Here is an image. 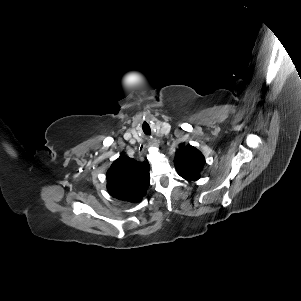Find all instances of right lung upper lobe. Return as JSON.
I'll list each match as a JSON object with an SVG mask.
<instances>
[{
	"label": "right lung upper lobe",
	"mask_w": 301,
	"mask_h": 301,
	"mask_svg": "<svg viewBox=\"0 0 301 301\" xmlns=\"http://www.w3.org/2000/svg\"><path fill=\"white\" fill-rule=\"evenodd\" d=\"M149 170L148 162H138L120 155L107 172L108 192L122 201H140L149 187Z\"/></svg>",
	"instance_id": "right-lung-upper-lobe-1"
}]
</instances>
